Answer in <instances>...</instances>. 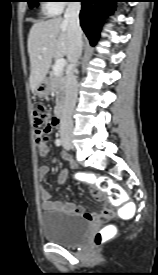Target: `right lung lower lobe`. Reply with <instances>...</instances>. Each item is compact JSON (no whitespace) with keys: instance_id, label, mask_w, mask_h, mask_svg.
Instances as JSON below:
<instances>
[{"instance_id":"98d812e1","label":"right lung lower lobe","mask_w":158,"mask_h":275,"mask_svg":"<svg viewBox=\"0 0 158 275\" xmlns=\"http://www.w3.org/2000/svg\"><path fill=\"white\" fill-rule=\"evenodd\" d=\"M82 2L80 23L90 44L96 45L103 20L112 12L116 0H79Z\"/></svg>"}]
</instances>
